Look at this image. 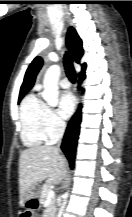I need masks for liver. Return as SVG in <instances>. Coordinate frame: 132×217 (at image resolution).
Segmentation results:
<instances>
[{"mask_svg":"<svg viewBox=\"0 0 132 217\" xmlns=\"http://www.w3.org/2000/svg\"><path fill=\"white\" fill-rule=\"evenodd\" d=\"M68 163L54 146H33L21 152L19 158V194L22 201L35 183L47 180L58 184L66 176Z\"/></svg>","mask_w":132,"mask_h":217,"instance_id":"1","label":"liver"}]
</instances>
